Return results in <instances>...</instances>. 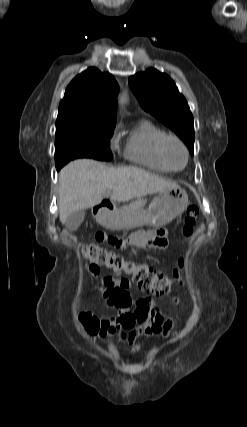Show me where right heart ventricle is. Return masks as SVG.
Here are the masks:
<instances>
[{"label": "right heart ventricle", "mask_w": 247, "mask_h": 427, "mask_svg": "<svg viewBox=\"0 0 247 427\" xmlns=\"http://www.w3.org/2000/svg\"><path fill=\"white\" fill-rule=\"evenodd\" d=\"M165 131L148 119L140 120L129 132L124 155L138 165L160 173L171 170L161 160L158 145Z\"/></svg>", "instance_id": "obj_1"}]
</instances>
